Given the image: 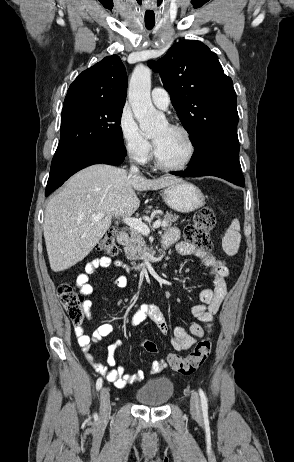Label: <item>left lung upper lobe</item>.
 Returning a JSON list of instances; mask_svg holds the SVG:
<instances>
[{"mask_svg":"<svg viewBox=\"0 0 294 462\" xmlns=\"http://www.w3.org/2000/svg\"><path fill=\"white\" fill-rule=\"evenodd\" d=\"M158 71L173 107L194 146L209 140L226 126H237V99L232 79L224 74L218 57L196 40L174 44L158 62Z\"/></svg>","mask_w":294,"mask_h":462,"instance_id":"1","label":"left lung upper lobe"}]
</instances>
